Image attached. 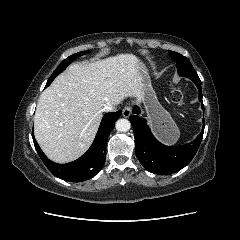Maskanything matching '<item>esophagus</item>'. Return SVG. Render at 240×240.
Wrapping results in <instances>:
<instances>
[{
  "instance_id": "obj_1",
  "label": "esophagus",
  "mask_w": 240,
  "mask_h": 240,
  "mask_svg": "<svg viewBox=\"0 0 240 240\" xmlns=\"http://www.w3.org/2000/svg\"><path fill=\"white\" fill-rule=\"evenodd\" d=\"M132 113V107L131 106H125L122 110V115L125 118H128Z\"/></svg>"
}]
</instances>
